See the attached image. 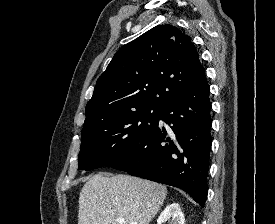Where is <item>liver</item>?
<instances>
[{
    "instance_id": "1",
    "label": "liver",
    "mask_w": 275,
    "mask_h": 224,
    "mask_svg": "<svg viewBox=\"0 0 275 224\" xmlns=\"http://www.w3.org/2000/svg\"><path fill=\"white\" fill-rule=\"evenodd\" d=\"M167 195L161 184L129 175L96 174L84 184L79 197L78 224H149Z\"/></svg>"
}]
</instances>
